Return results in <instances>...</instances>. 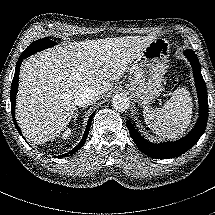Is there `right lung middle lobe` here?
Wrapping results in <instances>:
<instances>
[{
  "label": "right lung middle lobe",
  "instance_id": "1",
  "mask_svg": "<svg viewBox=\"0 0 215 215\" xmlns=\"http://www.w3.org/2000/svg\"><path fill=\"white\" fill-rule=\"evenodd\" d=\"M55 44H56L55 42L49 40L47 37L43 39H39L31 43L22 54H25L28 57L30 55L35 54L36 52L52 47Z\"/></svg>",
  "mask_w": 215,
  "mask_h": 215
}]
</instances>
